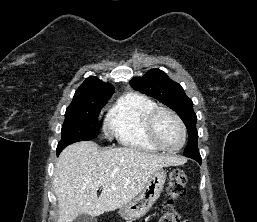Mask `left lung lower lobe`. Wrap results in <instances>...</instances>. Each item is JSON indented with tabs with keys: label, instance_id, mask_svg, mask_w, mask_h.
<instances>
[{
	"label": "left lung lower lobe",
	"instance_id": "0a47b994",
	"mask_svg": "<svg viewBox=\"0 0 257 222\" xmlns=\"http://www.w3.org/2000/svg\"><path fill=\"white\" fill-rule=\"evenodd\" d=\"M196 161L201 164V158L196 159Z\"/></svg>",
	"mask_w": 257,
	"mask_h": 222
}]
</instances>
